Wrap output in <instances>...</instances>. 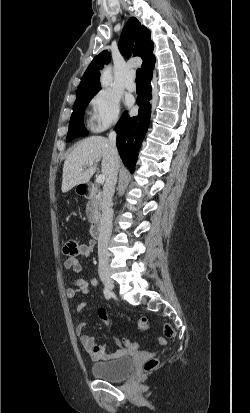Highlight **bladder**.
I'll return each mask as SVG.
<instances>
[{
  "instance_id": "bladder-1",
  "label": "bladder",
  "mask_w": 250,
  "mask_h": 413,
  "mask_svg": "<svg viewBox=\"0 0 250 413\" xmlns=\"http://www.w3.org/2000/svg\"><path fill=\"white\" fill-rule=\"evenodd\" d=\"M134 367V359L121 355L115 359L94 363L91 372L94 377L107 381H119L126 378Z\"/></svg>"
}]
</instances>
